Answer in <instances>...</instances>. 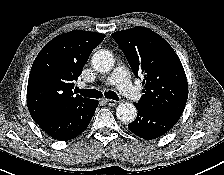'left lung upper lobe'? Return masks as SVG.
<instances>
[{
  "instance_id": "5c2ea615",
  "label": "left lung upper lobe",
  "mask_w": 224,
  "mask_h": 175,
  "mask_svg": "<svg viewBox=\"0 0 224 175\" xmlns=\"http://www.w3.org/2000/svg\"><path fill=\"white\" fill-rule=\"evenodd\" d=\"M111 36L124 52L136 77L143 75L142 107L182 115L188 83L183 66L173 48L157 33L136 26Z\"/></svg>"
}]
</instances>
